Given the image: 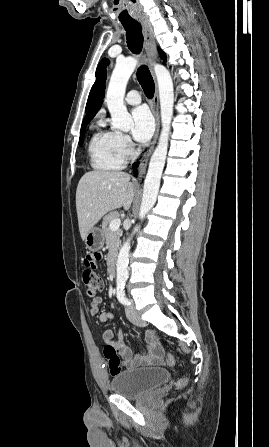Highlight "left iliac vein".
I'll return each instance as SVG.
<instances>
[{"mask_svg":"<svg viewBox=\"0 0 269 447\" xmlns=\"http://www.w3.org/2000/svg\"><path fill=\"white\" fill-rule=\"evenodd\" d=\"M128 320L136 326H144L145 322L138 316L136 309L132 305L126 306L125 309Z\"/></svg>","mask_w":269,"mask_h":447,"instance_id":"left-iliac-vein-1","label":"left iliac vein"}]
</instances>
